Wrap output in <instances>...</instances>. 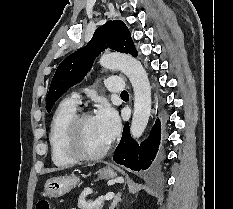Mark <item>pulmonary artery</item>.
Instances as JSON below:
<instances>
[{
  "label": "pulmonary artery",
  "mask_w": 233,
  "mask_h": 209,
  "mask_svg": "<svg viewBox=\"0 0 233 209\" xmlns=\"http://www.w3.org/2000/svg\"><path fill=\"white\" fill-rule=\"evenodd\" d=\"M105 84H106L107 89L111 92L119 93V92L124 91L123 80L118 76H108L105 79ZM68 100L72 104L77 106L80 102V96L79 94H73Z\"/></svg>",
  "instance_id": "1"
}]
</instances>
